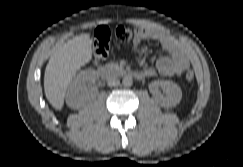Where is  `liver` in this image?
<instances>
[{
    "label": "liver",
    "mask_w": 243,
    "mask_h": 167,
    "mask_svg": "<svg viewBox=\"0 0 243 167\" xmlns=\"http://www.w3.org/2000/svg\"><path fill=\"white\" fill-rule=\"evenodd\" d=\"M92 59L90 34H81L53 51L44 74L47 100L56 110L64 104L66 90L76 72Z\"/></svg>",
    "instance_id": "liver-1"
}]
</instances>
